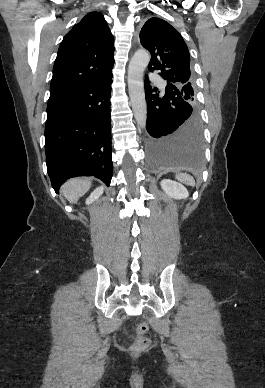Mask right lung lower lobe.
<instances>
[{
    "label": "right lung lower lobe",
    "mask_w": 265,
    "mask_h": 388,
    "mask_svg": "<svg viewBox=\"0 0 265 388\" xmlns=\"http://www.w3.org/2000/svg\"><path fill=\"white\" fill-rule=\"evenodd\" d=\"M111 83L112 75L49 98L45 151L56 192L65 180L76 176H95L110 184Z\"/></svg>",
    "instance_id": "obj_1"
}]
</instances>
